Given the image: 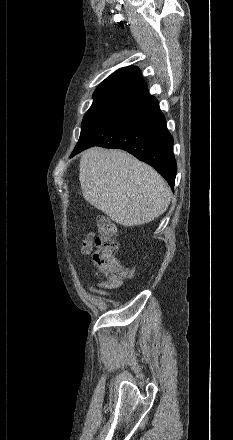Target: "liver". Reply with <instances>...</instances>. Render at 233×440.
<instances>
[{"label": "liver", "instance_id": "liver-1", "mask_svg": "<svg viewBox=\"0 0 233 440\" xmlns=\"http://www.w3.org/2000/svg\"><path fill=\"white\" fill-rule=\"evenodd\" d=\"M79 176L84 199L125 227L151 222L170 204L171 189L163 177L122 150L85 151Z\"/></svg>", "mask_w": 233, "mask_h": 440}]
</instances>
